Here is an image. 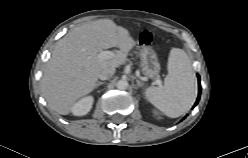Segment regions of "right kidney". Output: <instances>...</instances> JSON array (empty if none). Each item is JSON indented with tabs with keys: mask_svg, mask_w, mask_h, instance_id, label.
<instances>
[{
	"mask_svg": "<svg viewBox=\"0 0 248 158\" xmlns=\"http://www.w3.org/2000/svg\"><path fill=\"white\" fill-rule=\"evenodd\" d=\"M93 101L94 99L92 96H87V97L80 99L72 107L73 115H76V116L86 115L91 110Z\"/></svg>",
	"mask_w": 248,
	"mask_h": 158,
	"instance_id": "1",
	"label": "right kidney"
}]
</instances>
